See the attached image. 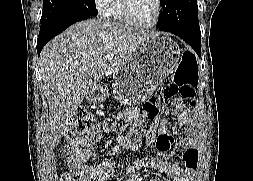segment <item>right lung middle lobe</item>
<instances>
[{"mask_svg": "<svg viewBox=\"0 0 253 181\" xmlns=\"http://www.w3.org/2000/svg\"><path fill=\"white\" fill-rule=\"evenodd\" d=\"M41 25L56 21L73 13L97 15L95 0H43Z\"/></svg>", "mask_w": 253, "mask_h": 181, "instance_id": "obj_1", "label": "right lung middle lobe"}]
</instances>
